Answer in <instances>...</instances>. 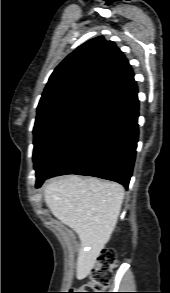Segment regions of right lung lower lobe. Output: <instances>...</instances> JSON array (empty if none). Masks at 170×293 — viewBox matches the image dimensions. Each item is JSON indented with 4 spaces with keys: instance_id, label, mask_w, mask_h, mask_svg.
Wrapping results in <instances>:
<instances>
[{
    "instance_id": "98d812e1",
    "label": "right lung lower lobe",
    "mask_w": 170,
    "mask_h": 293,
    "mask_svg": "<svg viewBox=\"0 0 170 293\" xmlns=\"http://www.w3.org/2000/svg\"><path fill=\"white\" fill-rule=\"evenodd\" d=\"M137 93L107 107L47 178L78 174L116 181L128 187L139 134ZM42 183L36 184V187L39 188Z\"/></svg>"
}]
</instances>
